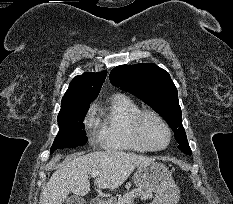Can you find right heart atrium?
Returning <instances> with one entry per match:
<instances>
[{
  "label": "right heart atrium",
  "mask_w": 233,
  "mask_h": 204,
  "mask_svg": "<svg viewBox=\"0 0 233 204\" xmlns=\"http://www.w3.org/2000/svg\"><path fill=\"white\" fill-rule=\"evenodd\" d=\"M96 125H97L96 120L93 117V111L91 109L85 118V126L87 129L91 130V129H94L96 127ZM98 139H99L98 136H94L92 138L93 141H96Z\"/></svg>",
  "instance_id": "obj_1"
}]
</instances>
